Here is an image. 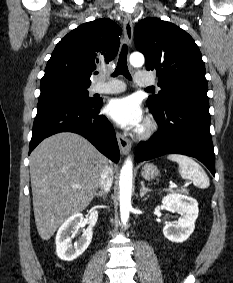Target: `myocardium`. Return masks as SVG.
I'll return each mask as SVG.
<instances>
[{"instance_id":"myocardium-1","label":"myocardium","mask_w":233,"mask_h":283,"mask_svg":"<svg viewBox=\"0 0 233 283\" xmlns=\"http://www.w3.org/2000/svg\"><path fill=\"white\" fill-rule=\"evenodd\" d=\"M158 129L156 121L152 118H147L138 131V136L141 139H148L152 137Z\"/></svg>"}]
</instances>
